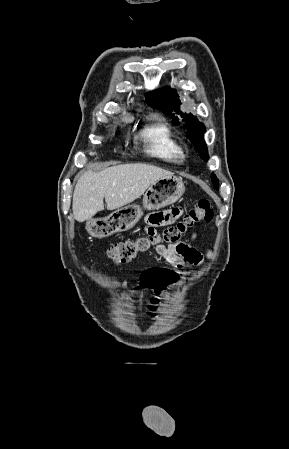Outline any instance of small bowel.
I'll list each match as a JSON object with an SVG mask.
<instances>
[{
    "mask_svg": "<svg viewBox=\"0 0 289 449\" xmlns=\"http://www.w3.org/2000/svg\"><path fill=\"white\" fill-rule=\"evenodd\" d=\"M180 213L181 210L179 208H174L160 213L149 214L145 219L146 232L148 235L156 234L155 228L157 226H162L174 221L179 217ZM196 240L197 234L194 233L191 237V244L177 243L173 245H158L156 247V252L168 262L174 271H179L180 275H190L192 268L199 266L203 262V255L193 246ZM205 257L208 259L212 258L213 252L208 249L205 253ZM122 287L125 289L127 287V282H124Z\"/></svg>",
    "mask_w": 289,
    "mask_h": 449,
    "instance_id": "obj_1",
    "label": "small bowel"
}]
</instances>
